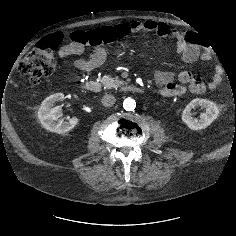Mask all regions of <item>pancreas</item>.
<instances>
[{"label":"pancreas","instance_id":"cf45deb5","mask_svg":"<svg viewBox=\"0 0 236 236\" xmlns=\"http://www.w3.org/2000/svg\"><path fill=\"white\" fill-rule=\"evenodd\" d=\"M101 83L103 84V86L107 89H110V88H118L122 85L125 84L124 81L122 80H119V79H114L112 78L111 76L109 75H105L103 76V78L101 79Z\"/></svg>","mask_w":236,"mask_h":236}]
</instances>
